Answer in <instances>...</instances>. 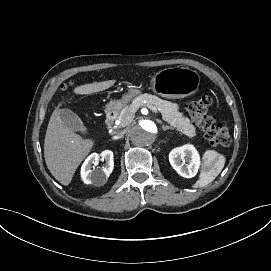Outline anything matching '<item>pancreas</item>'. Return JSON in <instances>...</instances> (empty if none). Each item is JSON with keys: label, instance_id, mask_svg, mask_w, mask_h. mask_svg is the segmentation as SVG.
Returning <instances> with one entry per match:
<instances>
[{"label": "pancreas", "instance_id": "obj_1", "mask_svg": "<svg viewBox=\"0 0 271 271\" xmlns=\"http://www.w3.org/2000/svg\"><path fill=\"white\" fill-rule=\"evenodd\" d=\"M141 104H150L155 109L162 113L163 120L170 123L177 131L184 133L187 137L192 138L195 135L194 126L191 125L189 118L184 117L178 111L176 104H171L168 101H164L158 97L146 95L141 99ZM136 102L130 108H127L121 112L119 116V127H125L131 123L134 118L135 112L138 110Z\"/></svg>", "mask_w": 271, "mask_h": 271}]
</instances>
